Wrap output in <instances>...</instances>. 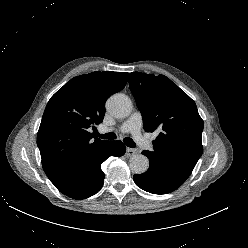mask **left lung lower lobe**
Returning <instances> with one entry per match:
<instances>
[{
	"instance_id": "obj_1",
	"label": "left lung lower lobe",
	"mask_w": 248,
	"mask_h": 248,
	"mask_svg": "<svg viewBox=\"0 0 248 248\" xmlns=\"http://www.w3.org/2000/svg\"><path fill=\"white\" fill-rule=\"evenodd\" d=\"M142 154L146 155L144 151ZM133 178L141 189L153 194H167L183 184L155 162H150L147 172L134 175Z\"/></svg>"
}]
</instances>
